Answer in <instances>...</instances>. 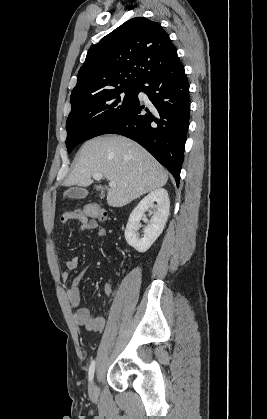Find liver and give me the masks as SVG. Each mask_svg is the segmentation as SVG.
I'll list each match as a JSON object with an SVG mask.
<instances>
[{
  "label": "liver",
  "mask_w": 267,
  "mask_h": 419,
  "mask_svg": "<svg viewBox=\"0 0 267 419\" xmlns=\"http://www.w3.org/2000/svg\"><path fill=\"white\" fill-rule=\"evenodd\" d=\"M101 173L116 183L107 190V203L122 207L140 196L164 186L168 175L163 167L138 143L119 135L93 138L84 143L66 186L92 184V176Z\"/></svg>",
  "instance_id": "1"
}]
</instances>
